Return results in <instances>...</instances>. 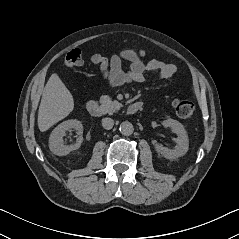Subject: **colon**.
Here are the masks:
<instances>
[{
	"label": "colon",
	"mask_w": 239,
	"mask_h": 239,
	"mask_svg": "<svg viewBox=\"0 0 239 239\" xmlns=\"http://www.w3.org/2000/svg\"><path fill=\"white\" fill-rule=\"evenodd\" d=\"M138 56H143V51H132ZM84 56L80 49H73L69 51L65 57L64 65L68 69H73L83 65ZM171 106L178 117L184 120H189L195 113V105L188 100L172 99Z\"/></svg>",
	"instance_id": "colon-1"
}]
</instances>
